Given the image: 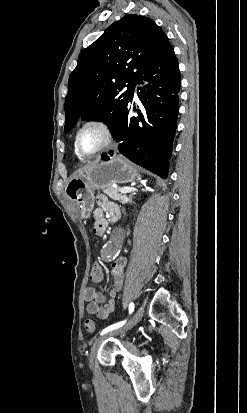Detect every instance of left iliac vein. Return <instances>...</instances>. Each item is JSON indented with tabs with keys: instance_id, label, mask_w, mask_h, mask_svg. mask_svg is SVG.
<instances>
[{
	"instance_id": "1",
	"label": "left iliac vein",
	"mask_w": 247,
	"mask_h": 413,
	"mask_svg": "<svg viewBox=\"0 0 247 413\" xmlns=\"http://www.w3.org/2000/svg\"><path fill=\"white\" fill-rule=\"evenodd\" d=\"M144 314V307L141 306L136 313L133 315V317L123 326L114 329L112 331H109L108 333H106L105 335L99 337L98 339H96L91 347V353L89 355L88 358V365L89 368H93L94 367V359H95V355L99 350L100 345L102 344V342L109 338V337H113V336H117L120 335L128 330H130L131 328H133L134 326H136V324L142 319Z\"/></svg>"
}]
</instances>
